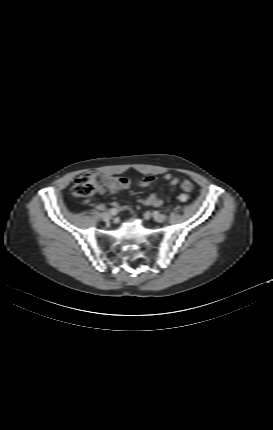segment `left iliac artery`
Returning <instances> with one entry per match:
<instances>
[{
    "label": "left iliac artery",
    "mask_w": 273,
    "mask_h": 430,
    "mask_svg": "<svg viewBox=\"0 0 273 430\" xmlns=\"http://www.w3.org/2000/svg\"><path fill=\"white\" fill-rule=\"evenodd\" d=\"M186 200H187V197H186L184 194H181V195L179 196V201H180L181 203H184Z\"/></svg>",
    "instance_id": "44dca946"
}]
</instances>
